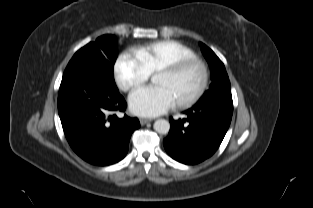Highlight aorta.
<instances>
[{
    "label": "aorta",
    "instance_id": "1",
    "mask_svg": "<svg viewBox=\"0 0 313 208\" xmlns=\"http://www.w3.org/2000/svg\"><path fill=\"white\" fill-rule=\"evenodd\" d=\"M153 128L159 134H167L170 130V123L165 119H158L155 121Z\"/></svg>",
    "mask_w": 313,
    "mask_h": 208
}]
</instances>
